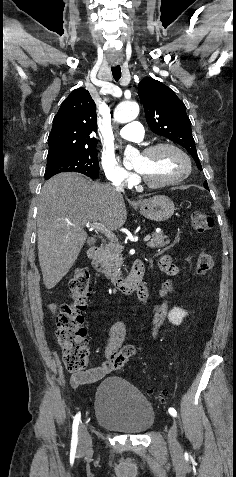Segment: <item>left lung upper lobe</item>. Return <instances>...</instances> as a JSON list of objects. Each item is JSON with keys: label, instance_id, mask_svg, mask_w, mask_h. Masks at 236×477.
Listing matches in <instances>:
<instances>
[{"label": "left lung upper lobe", "instance_id": "5c2ea615", "mask_svg": "<svg viewBox=\"0 0 236 477\" xmlns=\"http://www.w3.org/2000/svg\"><path fill=\"white\" fill-rule=\"evenodd\" d=\"M138 93L151 130L183 146L202 170L184 103L169 87L151 77L142 79ZM204 187L208 189L207 181Z\"/></svg>", "mask_w": 236, "mask_h": 477}]
</instances>
